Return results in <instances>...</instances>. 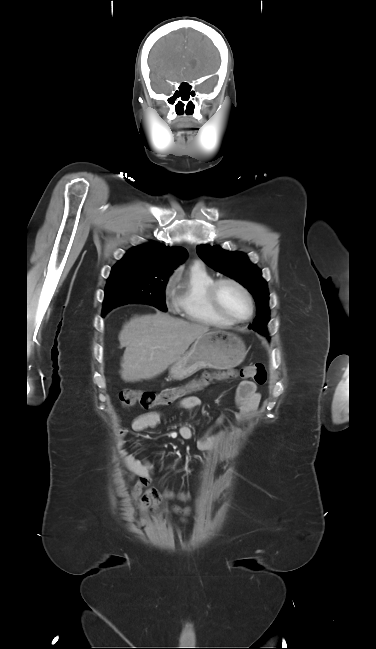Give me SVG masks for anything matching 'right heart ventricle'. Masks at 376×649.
Wrapping results in <instances>:
<instances>
[{"label":"right heart ventricle","mask_w":376,"mask_h":649,"mask_svg":"<svg viewBox=\"0 0 376 649\" xmlns=\"http://www.w3.org/2000/svg\"><path fill=\"white\" fill-rule=\"evenodd\" d=\"M214 276L200 263H194L173 280L174 309L185 318L210 326L229 327L231 322L224 319L212 305L208 289Z\"/></svg>","instance_id":"obj_1"}]
</instances>
